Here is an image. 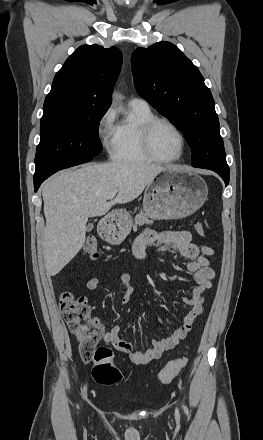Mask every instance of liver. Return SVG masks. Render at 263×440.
Returning a JSON list of instances; mask_svg holds the SVG:
<instances>
[{
  "label": "liver",
  "mask_w": 263,
  "mask_h": 440,
  "mask_svg": "<svg viewBox=\"0 0 263 440\" xmlns=\"http://www.w3.org/2000/svg\"><path fill=\"white\" fill-rule=\"evenodd\" d=\"M173 166L109 162L62 171L44 182L46 227L42 240L46 273L58 274L80 251L89 217L105 215L113 205L136 199L157 175ZM117 190V197L107 196Z\"/></svg>",
  "instance_id": "6515ba94"
}]
</instances>
